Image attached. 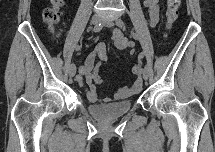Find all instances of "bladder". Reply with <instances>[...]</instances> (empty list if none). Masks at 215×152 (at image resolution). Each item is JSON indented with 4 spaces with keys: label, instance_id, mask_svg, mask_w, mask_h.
<instances>
[{
    "label": "bladder",
    "instance_id": "bladder-1",
    "mask_svg": "<svg viewBox=\"0 0 215 152\" xmlns=\"http://www.w3.org/2000/svg\"><path fill=\"white\" fill-rule=\"evenodd\" d=\"M132 101L114 102L106 105L90 104L88 111L91 115L100 120H109L128 113L132 108Z\"/></svg>",
    "mask_w": 215,
    "mask_h": 152
}]
</instances>
